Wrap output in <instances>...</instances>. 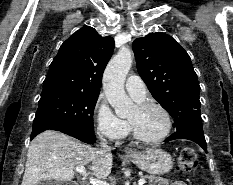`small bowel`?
Instances as JSON below:
<instances>
[{
  "label": "small bowel",
  "mask_w": 233,
  "mask_h": 185,
  "mask_svg": "<svg viewBox=\"0 0 233 185\" xmlns=\"http://www.w3.org/2000/svg\"><path fill=\"white\" fill-rule=\"evenodd\" d=\"M173 185H187L184 181H176Z\"/></svg>",
  "instance_id": "1"
}]
</instances>
